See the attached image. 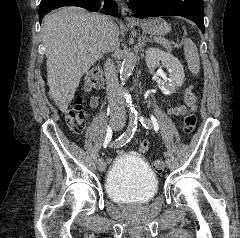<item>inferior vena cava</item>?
<instances>
[{
	"label": "inferior vena cava",
	"mask_w": 240,
	"mask_h": 238,
	"mask_svg": "<svg viewBox=\"0 0 240 238\" xmlns=\"http://www.w3.org/2000/svg\"><path fill=\"white\" fill-rule=\"evenodd\" d=\"M96 20L103 27L107 28L111 23L112 19L104 15H96ZM104 73L107 84V98L111 106L112 117L119 119L122 122L125 121V106L124 101L119 93V83L117 70L113 61L108 58L104 64Z\"/></svg>",
	"instance_id": "inferior-vena-cava-1"
}]
</instances>
